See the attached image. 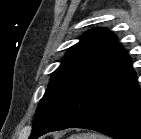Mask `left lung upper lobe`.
Wrapping results in <instances>:
<instances>
[{"label":"left lung upper lobe","mask_w":141,"mask_h":139,"mask_svg":"<svg viewBox=\"0 0 141 139\" xmlns=\"http://www.w3.org/2000/svg\"><path fill=\"white\" fill-rule=\"evenodd\" d=\"M122 50L117 37L106 29L87 31L80 42L68 50L61 65L54 71L36 110L30 137L45 127L82 82Z\"/></svg>","instance_id":"left-lung-upper-lobe-1"}]
</instances>
